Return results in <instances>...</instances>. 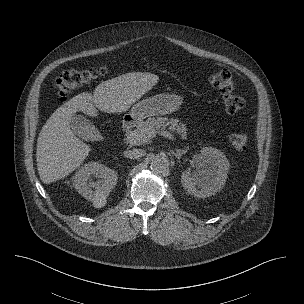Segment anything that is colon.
Returning <instances> with one entry per match:
<instances>
[{
    "instance_id": "colon-1",
    "label": "colon",
    "mask_w": 304,
    "mask_h": 304,
    "mask_svg": "<svg viewBox=\"0 0 304 304\" xmlns=\"http://www.w3.org/2000/svg\"><path fill=\"white\" fill-rule=\"evenodd\" d=\"M103 74L104 69L102 68L64 71L55 82L59 100H66L71 91L91 83ZM209 81L212 87L220 92L225 110L229 114L237 113L245 106L244 98L234 92V80L229 70L221 69L217 71L210 77ZM248 141V135L244 132H233L229 135L230 144L238 152L247 149Z\"/></svg>"
}]
</instances>
